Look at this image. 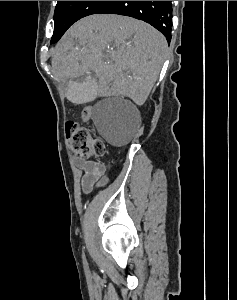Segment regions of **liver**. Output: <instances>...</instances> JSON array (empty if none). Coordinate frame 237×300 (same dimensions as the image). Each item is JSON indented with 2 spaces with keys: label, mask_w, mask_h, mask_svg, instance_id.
I'll return each mask as SVG.
<instances>
[{
  "label": "liver",
  "mask_w": 237,
  "mask_h": 300,
  "mask_svg": "<svg viewBox=\"0 0 237 300\" xmlns=\"http://www.w3.org/2000/svg\"><path fill=\"white\" fill-rule=\"evenodd\" d=\"M167 41L144 21L121 15H90L59 41L52 67L73 79L94 71L101 93L123 95L136 105L147 101L164 63Z\"/></svg>",
  "instance_id": "1"
}]
</instances>
